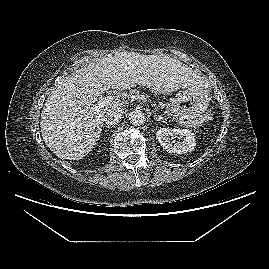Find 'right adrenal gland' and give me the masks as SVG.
Returning a JSON list of instances; mask_svg holds the SVG:
<instances>
[{
    "label": "right adrenal gland",
    "mask_w": 269,
    "mask_h": 269,
    "mask_svg": "<svg viewBox=\"0 0 269 269\" xmlns=\"http://www.w3.org/2000/svg\"><path fill=\"white\" fill-rule=\"evenodd\" d=\"M106 128H107V129H109V128H110V126H106Z\"/></svg>",
    "instance_id": "1"
}]
</instances>
